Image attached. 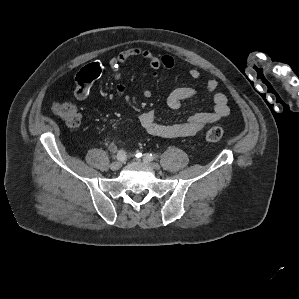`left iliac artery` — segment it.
<instances>
[{
    "instance_id": "left-iliac-artery-1",
    "label": "left iliac artery",
    "mask_w": 299,
    "mask_h": 299,
    "mask_svg": "<svg viewBox=\"0 0 299 299\" xmlns=\"http://www.w3.org/2000/svg\"><path fill=\"white\" fill-rule=\"evenodd\" d=\"M145 158L151 161V160L155 159L156 156H155L154 154H147V155L145 156Z\"/></svg>"
}]
</instances>
